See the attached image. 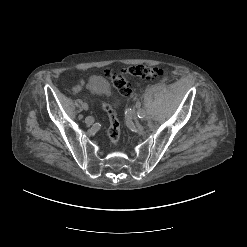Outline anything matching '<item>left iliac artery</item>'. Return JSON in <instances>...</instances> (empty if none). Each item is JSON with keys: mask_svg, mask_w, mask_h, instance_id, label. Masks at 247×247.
Wrapping results in <instances>:
<instances>
[{"mask_svg": "<svg viewBox=\"0 0 247 247\" xmlns=\"http://www.w3.org/2000/svg\"><path fill=\"white\" fill-rule=\"evenodd\" d=\"M137 114H138L139 118H144L145 115H146L145 111L143 109H141V108H138Z\"/></svg>", "mask_w": 247, "mask_h": 247, "instance_id": "44dca946", "label": "left iliac artery"}]
</instances>
